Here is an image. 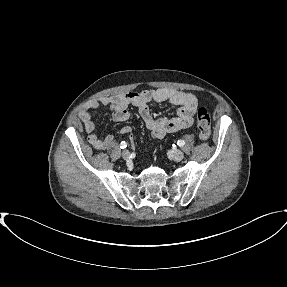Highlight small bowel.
Returning a JSON list of instances; mask_svg holds the SVG:
<instances>
[{
  "mask_svg": "<svg viewBox=\"0 0 287 287\" xmlns=\"http://www.w3.org/2000/svg\"><path fill=\"white\" fill-rule=\"evenodd\" d=\"M150 102H169L172 105L179 106V108L172 118L154 117L147 105ZM197 105V98L189 92L168 88L151 89L95 98L81 108L79 117L88 134L89 144L95 149L102 150L113 144L114 137L111 134L104 138L99 136L96 132V125L92 120V110L102 106L108 107L112 111L113 120L123 122L130 119L128 108L130 106L137 107L152 135L161 139L166 134L192 126ZM131 131L129 126L119 129L120 134H130Z\"/></svg>",
  "mask_w": 287,
  "mask_h": 287,
  "instance_id": "small-bowel-1",
  "label": "small bowel"
}]
</instances>
